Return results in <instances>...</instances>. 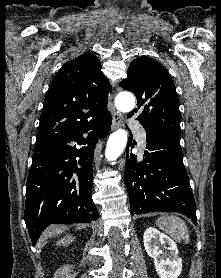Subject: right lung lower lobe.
<instances>
[{
    "mask_svg": "<svg viewBox=\"0 0 221 278\" xmlns=\"http://www.w3.org/2000/svg\"><path fill=\"white\" fill-rule=\"evenodd\" d=\"M111 115L82 124L34 149L26 185L25 223L32 245L49 224L91 223L94 149L108 135Z\"/></svg>",
    "mask_w": 221,
    "mask_h": 278,
    "instance_id": "98d812e1",
    "label": "right lung lower lobe"
}]
</instances>
